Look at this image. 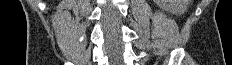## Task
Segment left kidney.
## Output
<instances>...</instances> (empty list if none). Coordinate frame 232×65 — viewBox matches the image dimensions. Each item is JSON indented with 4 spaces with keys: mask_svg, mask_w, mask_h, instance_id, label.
Here are the masks:
<instances>
[{
    "mask_svg": "<svg viewBox=\"0 0 232 65\" xmlns=\"http://www.w3.org/2000/svg\"><path fill=\"white\" fill-rule=\"evenodd\" d=\"M155 2L165 11L180 15L187 10L190 0H155Z\"/></svg>",
    "mask_w": 232,
    "mask_h": 65,
    "instance_id": "1",
    "label": "left kidney"
}]
</instances>
